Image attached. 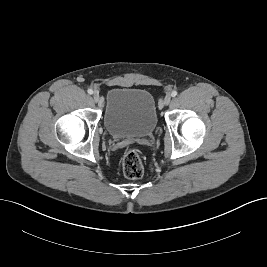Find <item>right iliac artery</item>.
I'll return each instance as SVG.
<instances>
[{"mask_svg":"<svg viewBox=\"0 0 267 267\" xmlns=\"http://www.w3.org/2000/svg\"><path fill=\"white\" fill-rule=\"evenodd\" d=\"M87 92H88V94H90V95L93 94V90H92V89H88Z\"/></svg>","mask_w":267,"mask_h":267,"instance_id":"right-iliac-artery-1","label":"right iliac artery"}]
</instances>
